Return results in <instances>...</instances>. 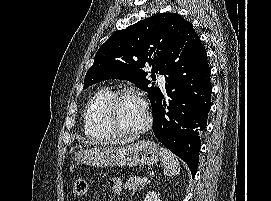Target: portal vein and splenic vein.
Listing matches in <instances>:
<instances>
[{"mask_svg": "<svg viewBox=\"0 0 271 201\" xmlns=\"http://www.w3.org/2000/svg\"><path fill=\"white\" fill-rule=\"evenodd\" d=\"M147 180H148V179L145 178V177L141 179L142 182H147Z\"/></svg>", "mask_w": 271, "mask_h": 201, "instance_id": "1", "label": "portal vein and splenic vein"}]
</instances>
